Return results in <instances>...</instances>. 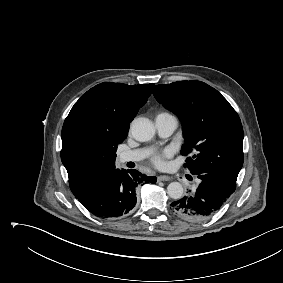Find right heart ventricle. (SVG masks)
I'll return each mask as SVG.
<instances>
[{"instance_id":"1","label":"right heart ventricle","mask_w":283,"mask_h":283,"mask_svg":"<svg viewBox=\"0 0 283 283\" xmlns=\"http://www.w3.org/2000/svg\"><path fill=\"white\" fill-rule=\"evenodd\" d=\"M158 115H169L168 113H160V114H158ZM157 115V116H158Z\"/></svg>"}]
</instances>
